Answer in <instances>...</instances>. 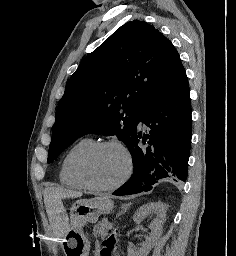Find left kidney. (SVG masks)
<instances>
[{
    "label": "left kidney",
    "mask_w": 236,
    "mask_h": 256,
    "mask_svg": "<svg viewBox=\"0 0 236 256\" xmlns=\"http://www.w3.org/2000/svg\"><path fill=\"white\" fill-rule=\"evenodd\" d=\"M149 214H156V220L149 226L151 230L150 238H146V242L140 244L141 248H139V250H136L134 246L129 244L127 248L128 256H148L150 250L155 246L156 240L160 238L166 216L165 204H162V202H150V204H144V206H141V208L135 212L133 220L136 224H140L143 218L149 216Z\"/></svg>",
    "instance_id": "1"
}]
</instances>
